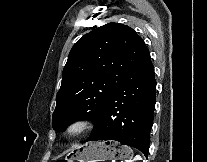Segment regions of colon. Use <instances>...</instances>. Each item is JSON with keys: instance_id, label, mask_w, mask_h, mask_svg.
Segmentation results:
<instances>
[{"instance_id": "1", "label": "colon", "mask_w": 207, "mask_h": 162, "mask_svg": "<svg viewBox=\"0 0 207 162\" xmlns=\"http://www.w3.org/2000/svg\"><path fill=\"white\" fill-rule=\"evenodd\" d=\"M58 162H72L71 160H60Z\"/></svg>"}]
</instances>
